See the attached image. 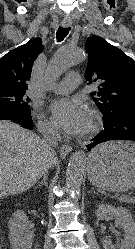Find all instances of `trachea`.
Instances as JSON below:
<instances>
[{
    "instance_id": "trachea-1",
    "label": "trachea",
    "mask_w": 135,
    "mask_h": 249,
    "mask_svg": "<svg viewBox=\"0 0 135 249\" xmlns=\"http://www.w3.org/2000/svg\"><path fill=\"white\" fill-rule=\"evenodd\" d=\"M71 28L69 27H59L56 33V38L58 42L63 41V39L68 35Z\"/></svg>"
}]
</instances>
